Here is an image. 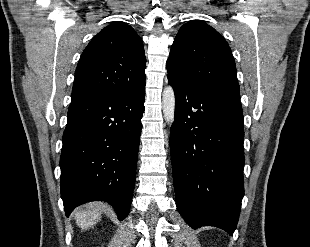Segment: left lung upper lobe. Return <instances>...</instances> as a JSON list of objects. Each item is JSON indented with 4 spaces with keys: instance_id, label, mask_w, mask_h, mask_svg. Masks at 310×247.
I'll return each mask as SVG.
<instances>
[{
    "instance_id": "left-lung-upper-lobe-1",
    "label": "left lung upper lobe",
    "mask_w": 310,
    "mask_h": 247,
    "mask_svg": "<svg viewBox=\"0 0 310 247\" xmlns=\"http://www.w3.org/2000/svg\"><path fill=\"white\" fill-rule=\"evenodd\" d=\"M168 76L195 88L240 100L232 52L208 24L194 20L179 30L167 60Z\"/></svg>"
}]
</instances>
